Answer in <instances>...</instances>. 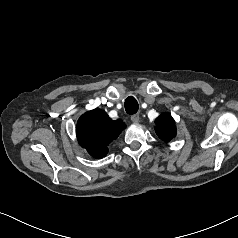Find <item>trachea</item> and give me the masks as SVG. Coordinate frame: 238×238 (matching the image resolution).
<instances>
[{
    "instance_id": "obj_1",
    "label": "trachea",
    "mask_w": 238,
    "mask_h": 238,
    "mask_svg": "<svg viewBox=\"0 0 238 238\" xmlns=\"http://www.w3.org/2000/svg\"><path fill=\"white\" fill-rule=\"evenodd\" d=\"M125 110L128 114H135L138 111L139 105L133 96H129L125 100Z\"/></svg>"
}]
</instances>
